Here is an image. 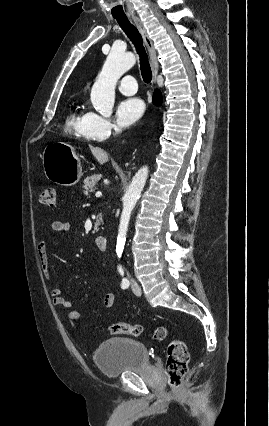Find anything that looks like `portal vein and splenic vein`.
<instances>
[{
	"instance_id": "portal-vein-and-splenic-vein-1",
	"label": "portal vein and splenic vein",
	"mask_w": 269,
	"mask_h": 426,
	"mask_svg": "<svg viewBox=\"0 0 269 426\" xmlns=\"http://www.w3.org/2000/svg\"><path fill=\"white\" fill-rule=\"evenodd\" d=\"M100 196H102V193L101 192H96V197H100Z\"/></svg>"
}]
</instances>
